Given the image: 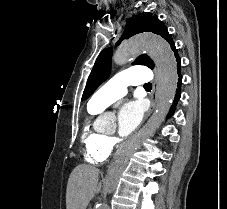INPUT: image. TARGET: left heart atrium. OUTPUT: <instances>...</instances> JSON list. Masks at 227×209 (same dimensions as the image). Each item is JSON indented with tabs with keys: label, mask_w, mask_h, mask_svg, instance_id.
<instances>
[{
	"label": "left heart atrium",
	"mask_w": 227,
	"mask_h": 209,
	"mask_svg": "<svg viewBox=\"0 0 227 209\" xmlns=\"http://www.w3.org/2000/svg\"><path fill=\"white\" fill-rule=\"evenodd\" d=\"M143 113L144 107L140 101L127 100L123 102L118 114L120 134L130 135L140 124Z\"/></svg>",
	"instance_id": "left-heart-atrium-1"
}]
</instances>
